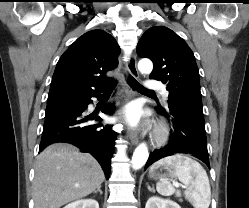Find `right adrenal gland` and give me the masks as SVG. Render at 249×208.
<instances>
[{
	"label": "right adrenal gland",
	"instance_id": "2a0ac1e0",
	"mask_svg": "<svg viewBox=\"0 0 249 208\" xmlns=\"http://www.w3.org/2000/svg\"><path fill=\"white\" fill-rule=\"evenodd\" d=\"M98 192L100 193V195L103 194V192H102V190H101V186L98 187L97 190H95V191L93 192V194H97Z\"/></svg>",
	"mask_w": 249,
	"mask_h": 208
}]
</instances>
